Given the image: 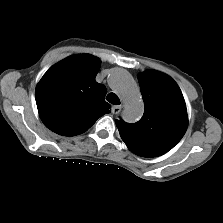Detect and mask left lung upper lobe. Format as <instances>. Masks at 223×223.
<instances>
[{
    "label": "left lung upper lobe",
    "instance_id": "obj_1",
    "mask_svg": "<svg viewBox=\"0 0 223 223\" xmlns=\"http://www.w3.org/2000/svg\"><path fill=\"white\" fill-rule=\"evenodd\" d=\"M145 111L137 123L116 120L127 147L143 157H157L172 149L188 126L184 97L176 82L166 74L147 70L138 76Z\"/></svg>",
    "mask_w": 223,
    "mask_h": 223
}]
</instances>
